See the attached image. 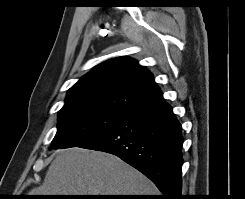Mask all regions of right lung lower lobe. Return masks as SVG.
<instances>
[{
	"instance_id": "right-lung-lower-lobe-1",
	"label": "right lung lower lobe",
	"mask_w": 245,
	"mask_h": 199,
	"mask_svg": "<svg viewBox=\"0 0 245 199\" xmlns=\"http://www.w3.org/2000/svg\"><path fill=\"white\" fill-rule=\"evenodd\" d=\"M182 144L181 125L163 100L79 147L120 157L155 183L161 199H181Z\"/></svg>"
}]
</instances>
